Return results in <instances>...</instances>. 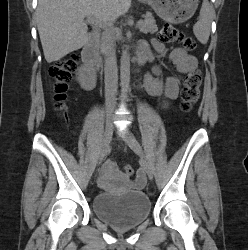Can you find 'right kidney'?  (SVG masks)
<instances>
[{
	"label": "right kidney",
	"instance_id": "ca27d5eb",
	"mask_svg": "<svg viewBox=\"0 0 248 250\" xmlns=\"http://www.w3.org/2000/svg\"><path fill=\"white\" fill-rule=\"evenodd\" d=\"M77 81L82 89L91 91L96 86V72L86 66H81L77 72Z\"/></svg>",
	"mask_w": 248,
	"mask_h": 250
}]
</instances>
